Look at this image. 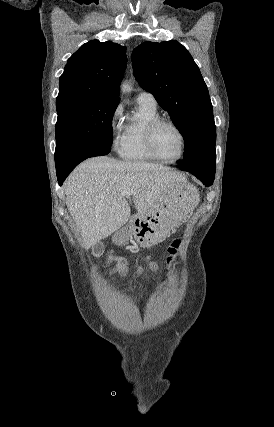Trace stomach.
<instances>
[{"label": "stomach", "mask_w": 274, "mask_h": 427, "mask_svg": "<svg viewBox=\"0 0 274 427\" xmlns=\"http://www.w3.org/2000/svg\"><path fill=\"white\" fill-rule=\"evenodd\" d=\"M197 190L191 184H183L180 190H175L170 202H161L147 214L132 215L125 227L112 235L113 243L126 245L131 235L143 247H152L157 241L164 239L175 227H178V215H187L193 206Z\"/></svg>", "instance_id": "stomach-1"}]
</instances>
